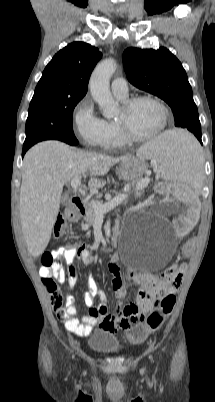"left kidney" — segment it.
Masks as SVG:
<instances>
[{"mask_svg": "<svg viewBox=\"0 0 215 402\" xmlns=\"http://www.w3.org/2000/svg\"><path fill=\"white\" fill-rule=\"evenodd\" d=\"M181 184H159L158 191L169 206L170 213L176 219L179 240H186L188 232L196 230L195 222L200 221V200H196L194 192L188 193Z\"/></svg>", "mask_w": 215, "mask_h": 402, "instance_id": "5707ae66", "label": "left kidney"}]
</instances>
